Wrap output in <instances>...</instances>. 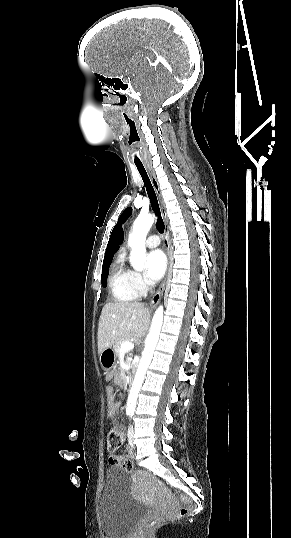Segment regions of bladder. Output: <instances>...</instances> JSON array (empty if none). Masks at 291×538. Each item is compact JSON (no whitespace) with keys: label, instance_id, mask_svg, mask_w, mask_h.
I'll list each match as a JSON object with an SVG mask.
<instances>
[{"label":"bladder","instance_id":"bladder-1","mask_svg":"<svg viewBox=\"0 0 291 538\" xmlns=\"http://www.w3.org/2000/svg\"><path fill=\"white\" fill-rule=\"evenodd\" d=\"M147 511L148 507L132 496L127 473L118 468L108 469L98 510L100 528L106 538H126Z\"/></svg>","mask_w":291,"mask_h":538}]
</instances>
